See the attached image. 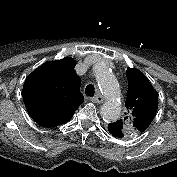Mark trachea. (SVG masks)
<instances>
[{"instance_id": "3493384b", "label": "trachea", "mask_w": 177, "mask_h": 177, "mask_svg": "<svg viewBox=\"0 0 177 177\" xmlns=\"http://www.w3.org/2000/svg\"><path fill=\"white\" fill-rule=\"evenodd\" d=\"M85 94L89 97H92L94 96L95 94V88L92 84H89L86 86V89H85Z\"/></svg>"}]
</instances>
